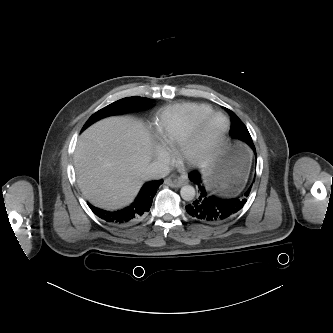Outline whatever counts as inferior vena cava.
I'll use <instances>...</instances> for the list:
<instances>
[{"instance_id":"1","label":"inferior vena cava","mask_w":333,"mask_h":333,"mask_svg":"<svg viewBox=\"0 0 333 333\" xmlns=\"http://www.w3.org/2000/svg\"><path fill=\"white\" fill-rule=\"evenodd\" d=\"M170 173V168L160 162L151 163L144 172L145 179H159L164 178Z\"/></svg>"}]
</instances>
